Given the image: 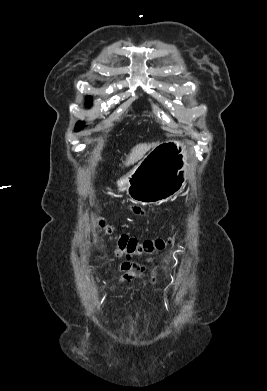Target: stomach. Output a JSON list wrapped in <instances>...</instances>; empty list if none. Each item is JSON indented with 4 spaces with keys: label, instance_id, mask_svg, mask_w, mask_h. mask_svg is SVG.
Wrapping results in <instances>:
<instances>
[{
    "label": "stomach",
    "instance_id": "0dacf381",
    "mask_svg": "<svg viewBox=\"0 0 267 391\" xmlns=\"http://www.w3.org/2000/svg\"><path fill=\"white\" fill-rule=\"evenodd\" d=\"M192 152L178 140L166 141L153 150L126 176L117 181L131 201L152 205L165 202L184 188L192 167Z\"/></svg>",
    "mask_w": 267,
    "mask_h": 391
}]
</instances>
